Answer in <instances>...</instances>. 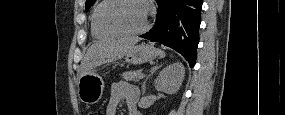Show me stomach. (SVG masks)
I'll list each match as a JSON object with an SVG mask.
<instances>
[{
  "label": "stomach",
  "mask_w": 285,
  "mask_h": 115,
  "mask_svg": "<svg viewBox=\"0 0 285 115\" xmlns=\"http://www.w3.org/2000/svg\"><path fill=\"white\" fill-rule=\"evenodd\" d=\"M159 55V51L153 46L139 44L134 46L125 56L128 63L140 65L155 59ZM104 81L99 76L96 69L81 76L78 82L79 99L87 104L92 105L99 102L104 91Z\"/></svg>",
  "instance_id": "stomach-1"
}]
</instances>
